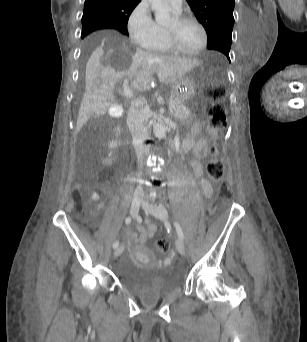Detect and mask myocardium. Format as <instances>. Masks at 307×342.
<instances>
[{
    "label": "myocardium",
    "instance_id": "myocardium-1",
    "mask_svg": "<svg viewBox=\"0 0 307 342\" xmlns=\"http://www.w3.org/2000/svg\"><path fill=\"white\" fill-rule=\"evenodd\" d=\"M193 21L197 23L202 32H203V42L202 45L195 51H184L180 49L171 39V37L164 33L163 34V45L166 48L167 52L178 55V56H186V57H197L200 56L209 46V31L208 27L205 24V22L200 19L199 17L193 15V14H185V15H180L176 18V22L178 24H182L185 22Z\"/></svg>",
    "mask_w": 307,
    "mask_h": 342
}]
</instances>
